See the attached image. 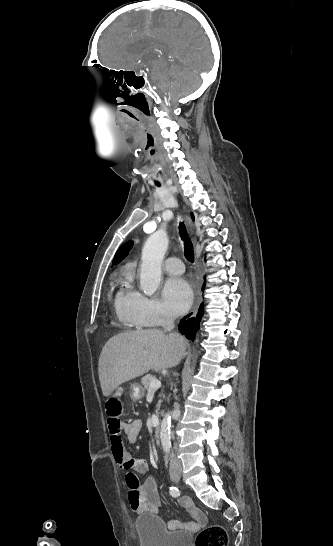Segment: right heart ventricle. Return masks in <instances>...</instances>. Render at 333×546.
Returning <instances> with one entry per match:
<instances>
[{
  "instance_id": "obj_1",
  "label": "right heart ventricle",
  "mask_w": 333,
  "mask_h": 546,
  "mask_svg": "<svg viewBox=\"0 0 333 546\" xmlns=\"http://www.w3.org/2000/svg\"><path fill=\"white\" fill-rule=\"evenodd\" d=\"M133 292L134 290L130 284V280L125 278L117 290L113 301L114 310L118 320L129 328H134L140 325V323H138L129 312V301Z\"/></svg>"
}]
</instances>
